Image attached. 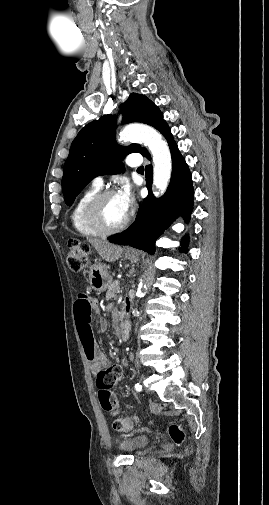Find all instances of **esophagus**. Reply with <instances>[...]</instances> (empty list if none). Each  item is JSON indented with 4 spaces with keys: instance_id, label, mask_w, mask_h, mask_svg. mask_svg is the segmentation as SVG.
<instances>
[{
    "instance_id": "esophagus-1",
    "label": "esophagus",
    "mask_w": 269,
    "mask_h": 505,
    "mask_svg": "<svg viewBox=\"0 0 269 505\" xmlns=\"http://www.w3.org/2000/svg\"><path fill=\"white\" fill-rule=\"evenodd\" d=\"M126 250H127L128 252H130V251H131V249H130V248H127Z\"/></svg>"
}]
</instances>
